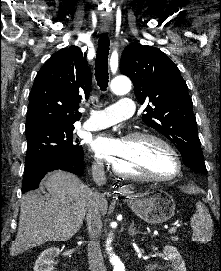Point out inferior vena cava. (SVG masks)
<instances>
[{"instance_id": "602c4592", "label": "inferior vena cava", "mask_w": 221, "mask_h": 271, "mask_svg": "<svg viewBox=\"0 0 221 271\" xmlns=\"http://www.w3.org/2000/svg\"><path fill=\"white\" fill-rule=\"evenodd\" d=\"M94 171H97L98 177L96 183L98 185H105L107 179L105 177L104 165L102 161H97L92 165ZM104 197L99 191H92L90 193V199L88 203V209L86 213V225L90 241L87 245L88 263L90 271H107L104 263L100 241V237L103 229L101 211L99 207V199Z\"/></svg>"}]
</instances>
